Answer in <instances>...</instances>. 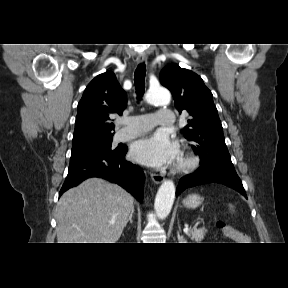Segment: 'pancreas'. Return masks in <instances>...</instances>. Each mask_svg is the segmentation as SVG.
Segmentation results:
<instances>
[{
    "instance_id": "cf45deb5",
    "label": "pancreas",
    "mask_w": 288,
    "mask_h": 288,
    "mask_svg": "<svg viewBox=\"0 0 288 288\" xmlns=\"http://www.w3.org/2000/svg\"><path fill=\"white\" fill-rule=\"evenodd\" d=\"M206 230L204 228L201 229H192L190 230L187 235L194 241H201L205 236Z\"/></svg>"
}]
</instances>
